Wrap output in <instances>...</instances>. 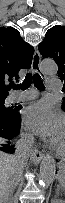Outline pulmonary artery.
I'll return each mask as SVG.
<instances>
[{
    "instance_id": "e3ab8cb5",
    "label": "pulmonary artery",
    "mask_w": 65,
    "mask_h": 203,
    "mask_svg": "<svg viewBox=\"0 0 65 203\" xmlns=\"http://www.w3.org/2000/svg\"><path fill=\"white\" fill-rule=\"evenodd\" d=\"M48 90L53 92H58L61 88V84L59 80L56 79H49L47 84ZM37 96V92L35 91H24V92H17L12 93L9 96V101L12 103L19 102V101H26L34 99Z\"/></svg>"
}]
</instances>
